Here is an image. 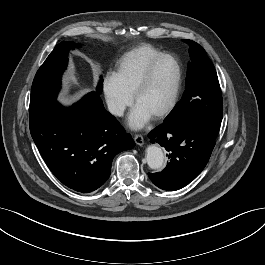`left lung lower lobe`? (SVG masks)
Instances as JSON below:
<instances>
[{"label":"left lung lower lobe","instance_id":"left-lung-lower-lobe-1","mask_svg":"<svg viewBox=\"0 0 265 265\" xmlns=\"http://www.w3.org/2000/svg\"><path fill=\"white\" fill-rule=\"evenodd\" d=\"M148 137L169 154L162 172L148 173L152 183L163 190L175 191L189 184L206 166L217 136L191 121L162 123Z\"/></svg>","mask_w":265,"mask_h":265}]
</instances>
